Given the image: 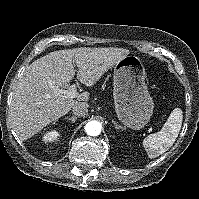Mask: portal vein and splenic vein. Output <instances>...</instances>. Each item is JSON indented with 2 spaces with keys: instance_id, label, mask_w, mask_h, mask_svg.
Returning <instances> with one entry per match:
<instances>
[{
  "instance_id": "obj_1",
  "label": "portal vein and splenic vein",
  "mask_w": 199,
  "mask_h": 199,
  "mask_svg": "<svg viewBox=\"0 0 199 199\" xmlns=\"http://www.w3.org/2000/svg\"><path fill=\"white\" fill-rule=\"evenodd\" d=\"M60 92L70 98H76L78 96L75 84L71 85L68 90L61 89Z\"/></svg>"
}]
</instances>
